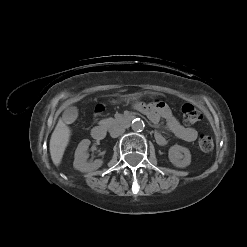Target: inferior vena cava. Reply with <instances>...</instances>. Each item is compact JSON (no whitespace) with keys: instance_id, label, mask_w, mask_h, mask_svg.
<instances>
[{"instance_id":"obj_1","label":"inferior vena cava","mask_w":247,"mask_h":247,"mask_svg":"<svg viewBox=\"0 0 247 247\" xmlns=\"http://www.w3.org/2000/svg\"><path fill=\"white\" fill-rule=\"evenodd\" d=\"M125 129L122 126H115L110 129V136L112 138H116L124 133Z\"/></svg>"}]
</instances>
